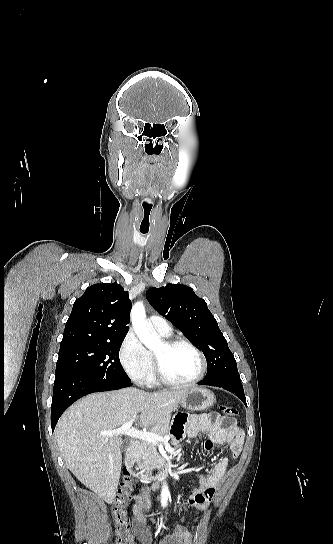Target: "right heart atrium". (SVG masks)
<instances>
[{
  "instance_id": "1",
  "label": "right heart atrium",
  "mask_w": 333,
  "mask_h": 544,
  "mask_svg": "<svg viewBox=\"0 0 333 544\" xmlns=\"http://www.w3.org/2000/svg\"><path fill=\"white\" fill-rule=\"evenodd\" d=\"M119 360L126 374L136 383L145 384L152 373V358L133 332L121 343Z\"/></svg>"
}]
</instances>
